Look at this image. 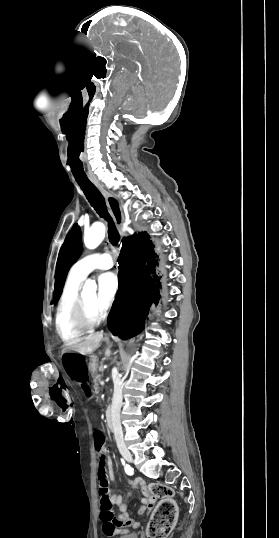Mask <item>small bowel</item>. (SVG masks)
<instances>
[{
  "label": "small bowel",
  "mask_w": 279,
  "mask_h": 538,
  "mask_svg": "<svg viewBox=\"0 0 279 538\" xmlns=\"http://www.w3.org/2000/svg\"><path fill=\"white\" fill-rule=\"evenodd\" d=\"M106 465L110 479L115 482L113 465L110 458H107ZM130 485L132 490H140L144 495V498L141 500L139 514L144 515L145 513L150 512L154 506V500L146 483L140 478H135L130 480ZM130 495L131 491H129L125 497L121 496L117 491L111 495V501L119 507L120 514L110 518L101 515L104 522L103 530L105 534H124L129 532L131 528L136 529L140 526V522L129 517L127 513L128 498Z\"/></svg>",
  "instance_id": "obj_1"
}]
</instances>
